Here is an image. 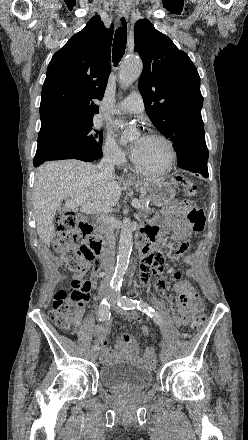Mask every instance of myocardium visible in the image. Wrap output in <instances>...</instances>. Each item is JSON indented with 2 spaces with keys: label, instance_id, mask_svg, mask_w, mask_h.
<instances>
[{
  "label": "myocardium",
  "instance_id": "myocardium-1",
  "mask_svg": "<svg viewBox=\"0 0 248 440\" xmlns=\"http://www.w3.org/2000/svg\"><path fill=\"white\" fill-rule=\"evenodd\" d=\"M147 137L161 140L166 145V147L168 149V160L166 162V165L161 169L150 170V169H145V168L138 166L135 163L134 159H132L133 169L136 172L143 174V175H147V176H162V175L169 173L171 171V169L175 163L176 157H177L176 149H175L173 142L167 136H165L164 134L159 133V132H151L148 134Z\"/></svg>",
  "mask_w": 248,
  "mask_h": 440
}]
</instances>
